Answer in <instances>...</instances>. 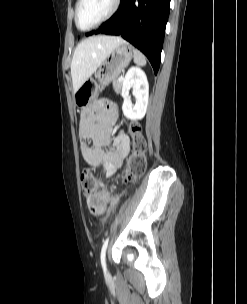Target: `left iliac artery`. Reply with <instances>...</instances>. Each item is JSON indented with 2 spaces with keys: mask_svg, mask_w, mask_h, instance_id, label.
Instances as JSON below:
<instances>
[{
  "mask_svg": "<svg viewBox=\"0 0 247 304\" xmlns=\"http://www.w3.org/2000/svg\"><path fill=\"white\" fill-rule=\"evenodd\" d=\"M108 241H109V238H106L104 243H103V246H102V249H101V264H102V267L104 270H106V261H105V255H106V249H107V246H108Z\"/></svg>",
  "mask_w": 247,
  "mask_h": 304,
  "instance_id": "44dca946",
  "label": "left iliac artery"
}]
</instances>
